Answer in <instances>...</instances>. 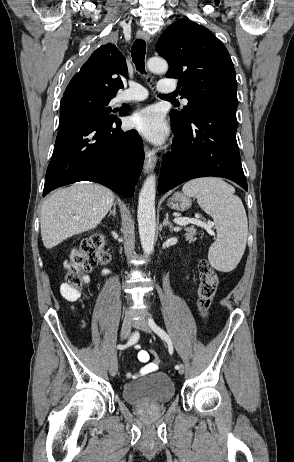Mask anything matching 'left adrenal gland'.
Masks as SVG:
<instances>
[{
	"label": "left adrenal gland",
	"mask_w": 294,
	"mask_h": 462,
	"mask_svg": "<svg viewBox=\"0 0 294 462\" xmlns=\"http://www.w3.org/2000/svg\"><path fill=\"white\" fill-rule=\"evenodd\" d=\"M168 217H169V214L166 213L165 219H164V221H163V227L168 226L170 232H173V224L170 222V220L168 219Z\"/></svg>",
	"instance_id": "left-adrenal-gland-1"
}]
</instances>
